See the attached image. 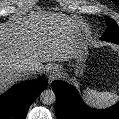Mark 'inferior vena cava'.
<instances>
[{
    "instance_id": "602c4592",
    "label": "inferior vena cava",
    "mask_w": 119,
    "mask_h": 119,
    "mask_svg": "<svg viewBox=\"0 0 119 119\" xmlns=\"http://www.w3.org/2000/svg\"><path fill=\"white\" fill-rule=\"evenodd\" d=\"M36 71V68L30 66V67H25L21 70V74L23 79H28L30 76H32Z\"/></svg>"
}]
</instances>
